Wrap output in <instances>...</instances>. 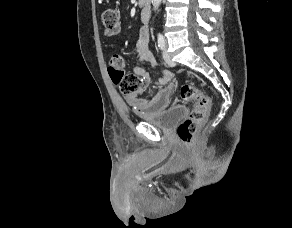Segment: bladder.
I'll return each mask as SVG.
<instances>
[{"label":"bladder","mask_w":292,"mask_h":228,"mask_svg":"<svg viewBox=\"0 0 292 228\" xmlns=\"http://www.w3.org/2000/svg\"><path fill=\"white\" fill-rule=\"evenodd\" d=\"M187 114V108L183 105L171 107L155 116H144L142 120L162 129H169Z\"/></svg>","instance_id":"bladder-1"}]
</instances>
